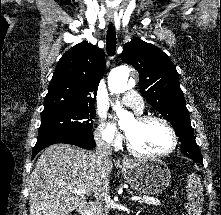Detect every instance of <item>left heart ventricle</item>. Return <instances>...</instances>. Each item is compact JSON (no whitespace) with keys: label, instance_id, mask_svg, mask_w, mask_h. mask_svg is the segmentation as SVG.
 <instances>
[{"label":"left heart ventricle","instance_id":"1","mask_svg":"<svg viewBox=\"0 0 221 215\" xmlns=\"http://www.w3.org/2000/svg\"><path fill=\"white\" fill-rule=\"evenodd\" d=\"M133 145L144 153H160L168 150L172 139L167 128L158 121L139 123L132 120L125 127Z\"/></svg>","mask_w":221,"mask_h":215}]
</instances>
